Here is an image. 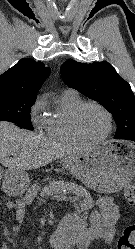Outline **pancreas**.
Returning a JSON list of instances; mask_svg holds the SVG:
<instances>
[{
  "mask_svg": "<svg viewBox=\"0 0 135 249\" xmlns=\"http://www.w3.org/2000/svg\"><path fill=\"white\" fill-rule=\"evenodd\" d=\"M64 188H69L70 190L74 191L79 196L85 197L87 201L90 200V193L83 187L70 184L68 182L64 181H53L50 182L48 185L44 186L42 189L40 196L41 198H44L45 196H53L58 197L60 194H62V190Z\"/></svg>",
  "mask_w": 135,
  "mask_h": 249,
  "instance_id": "pancreas-1",
  "label": "pancreas"
}]
</instances>
